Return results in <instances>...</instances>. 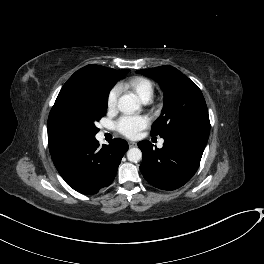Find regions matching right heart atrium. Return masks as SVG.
<instances>
[{"label": "right heart atrium", "mask_w": 264, "mask_h": 264, "mask_svg": "<svg viewBox=\"0 0 264 264\" xmlns=\"http://www.w3.org/2000/svg\"><path fill=\"white\" fill-rule=\"evenodd\" d=\"M119 95H120V90L117 87H114L109 92L107 97V108L109 111H114L117 108Z\"/></svg>", "instance_id": "right-heart-atrium-1"}]
</instances>
